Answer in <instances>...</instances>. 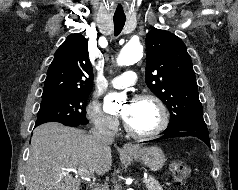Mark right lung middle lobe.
<instances>
[{
  "label": "right lung middle lobe",
  "instance_id": "right-lung-middle-lobe-1",
  "mask_svg": "<svg viewBox=\"0 0 238 190\" xmlns=\"http://www.w3.org/2000/svg\"><path fill=\"white\" fill-rule=\"evenodd\" d=\"M89 94H61L42 97L35 126L46 122L87 124L85 107Z\"/></svg>",
  "mask_w": 238,
  "mask_h": 190
}]
</instances>
